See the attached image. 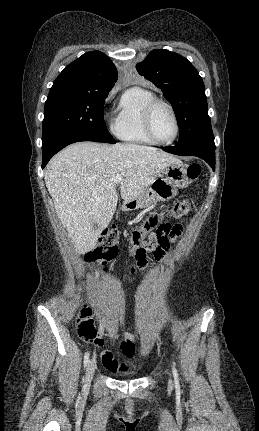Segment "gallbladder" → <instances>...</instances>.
Masks as SVG:
<instances>
[{
  "label": "gallbladder",
  "mask_w": 259,
  "mask_h": 431,
  "mask_svg": "<svg viewBox=\"0 0 259 431\" xmlns=\"http://www.w3.org/2000/svg\"><path fill=\"white\" fill-rule=\"evenodd\" d=\"M93 228H94V230H96V229L98 228V224H97V223H94V224H93Z\"/></svg>",
  "instance_id": "bac80fb5"
}]
</instances>
